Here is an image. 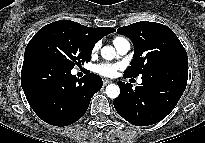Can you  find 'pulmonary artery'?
I'll return each instance as SVG.
<instances>
[{
    "label": "pulmonary artery",
    "instance_id": "1",
    "mask_svg": "<svg viewBox=\"0 0 205 143\" xmlns=\"http://www.w3.org/2000/svg\"><path fill=\"white\" fill-rule=\"evenodd\" d=\"M118 54L120 55H126L129 50L131 49V44L127 39H122L118 41L116 44H114ZM137 83L141 84L142 83V78L137 79Z\"/></svg>",
    "mask_w": 205,
    "mask_h": 143
}]
</instances>
